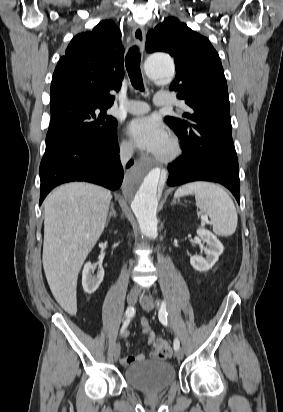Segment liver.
Here are the masks:
<instances>
[{"mask_svg": "<svg viewBox=\"0 0 283 412\" xmlns=\"http://www.w3.org/2000/svg\"><path fill=\"white\" fill-rule=\"evenodd\" d=\"M111 198L107 189L73 182L44 201L43 268L54 298L71 315L78 273L103 233Z\"/></svg>", "mask_w": 283, "mask_h": 412, "instance_id": "6515ba94", "label": "liver"}]
</instances>
